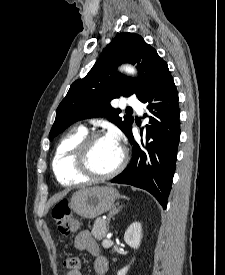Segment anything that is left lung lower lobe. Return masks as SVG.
Here are the masks:
<instances>
[{
  "instance_id": "1",
  "label": "left lung lower lobe",
  "mask_w": 225,
  "mask_h": 275,
  "mask_svg": "<svg viewBox=\"0 0 225 275\" xmlns=\"http://www.w3.org/2000/svg\"><path fill=\"white\" fill-rule=\"evenodd\" d=\"M140 101L147 104L153 116L149 117L144 141L134 139L132 127L127 131L126 136L133 146L132 159L112 182L145 189L166 209L180 137L178 92L169 69Z\"/></svg>"
}]
</instances>
